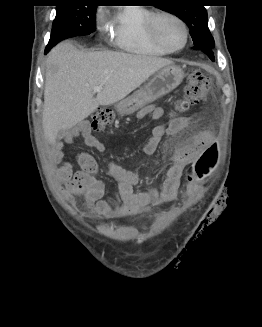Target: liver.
<instances>
[{"label": "liver", "mask_w": 262, "mask_h": 327, "mask_svg": "<svg viewBox=\"0 0 262 327\" xmlns=\"http://www.w3.org/2000/svg\"><path fill=\"white\" fill-rule=\"evenodd\" d=\"M169 59L114 51L83 52L70 42L48 55L44 89L43 130L55 144L59 133L71 129L100 105L114 104L138 88ZM102 90L94 97V87Z\"/></svg>", "instance_id": "liver-1"}]
</instances>
